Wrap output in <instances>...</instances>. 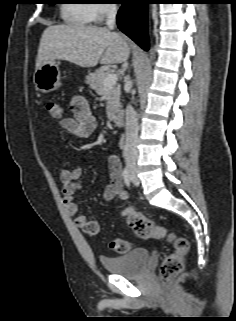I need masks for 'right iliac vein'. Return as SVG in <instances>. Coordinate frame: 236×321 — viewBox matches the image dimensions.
Returning a JSON list of instances; mask_svg holds the SVG:
<instances>
[{
    "instance_id": "63e3f726",
    "label": "right iliac vein",
    "mask_w": 236,
    "mask_h": 321,
    "mask_svg": "<svg viewBox=\"0 0 236 321\" xmlns=\"http://www.w3.org/2000/svg\"><path fill=\"white\" fill-rule=\"evenodd\" d=\"M127 167L129 169V171L131 172L132 176L134 177L135 184H138V180L135 177L136 173H137V168H136L135 163L133 162V160H131V159L127 160Z\"/></svg>"
}]
</instances>
